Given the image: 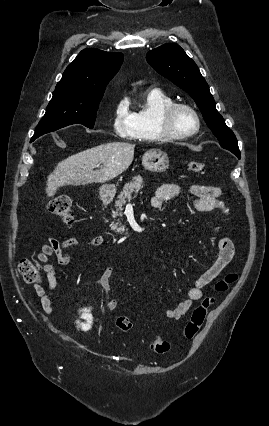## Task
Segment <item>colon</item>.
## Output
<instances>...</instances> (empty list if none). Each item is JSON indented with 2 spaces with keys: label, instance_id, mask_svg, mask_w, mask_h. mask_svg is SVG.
Instances as JSON below:
<instances>
[{
  "label": "colon",
  "instance_id": "obj_1",
  "mask_svg": "<svg viewBox=\"0 0 269 426\" xmlns=\"http://www.w3.org/2000/svg\"><path fill=\"white\" fill-rule=\"evenodd\" d=\"M188 168L195 173L204 172V164L200 161H190ZM49 211L59 218L65 224H71L74 220L72 200L67 195H59L51 199L48 203ZM18 272L22 279L28 284H38L41 280V268L31 259H22L18 264ZM238 276L236 273H228L224 278L218 280L215 284V291L225 292L233 285ZM214 298L207 296L193 310L189 322L186 324L184 334L187 339H192L198 333L204 323L208 309L213 304ZM116 325L120 331L128 332L132 329L133 323L128 317L119 316L116 319ZM151 347L157 353H167L170 350V344L167 340L156 337L151 342Z\"/></svg>",
  "mask_w": 269,
  "mask_h": 426
}]
</instances>
